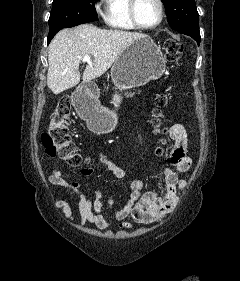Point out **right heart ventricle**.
<instances>
[{"label":"right heart ventricle","instance_id":"obj_1","mask_svg":"<svg viewBox=\"0 0 240 281\" xmlns=\"http://www.w3.org/2000/svg\"><path fill=\"white\" fill-rule=\"evenodd\" d=\"M105 22L116 30L131 31L136 27L129 17V0H106Z\"/></svg>","mask_w":240,"mask_h":281}]
</instances>
